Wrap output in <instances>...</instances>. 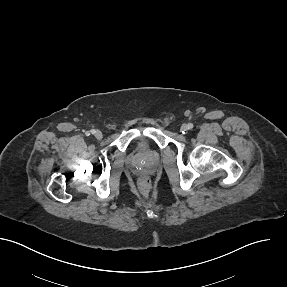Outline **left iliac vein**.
Listing matches in <instances>:
<instances>
[{"instance_id":"4c4485c4","label":"left iliac vein","mask_w":287,"mask_h":287,"mask_svg":"<svg viewBox=\"0 0 287 287\" xmlns=\"http://www.w3.org/2000/svg\"><path fill=\"white\" fill-rule=\"evenodd\" d=\"M181 130L184 131V132L188 131V130H189V129H188V125H187V124H183V125L181 126Z\"/></svg>"}]
</instances>
